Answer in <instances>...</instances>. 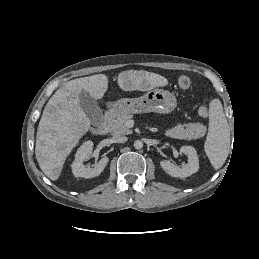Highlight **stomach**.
<instances>
[{
  "instance_id": "obj_1",
  "label": "stomach",
  "mask_w": 259,
  "mask_h": 259,
  "mask_svg": "<svg viewBox=\"0 0 259 259\" xmlns=\"http://www.w3.org/2000/svg\"><path fill=\"white\" fill-rule=\"evenodd\" d=\"M175 95L163 89H151L138 98H122L111 105L116 115L155 112L168 114L175 110Z\"/></svg>"
}]
</instances>
